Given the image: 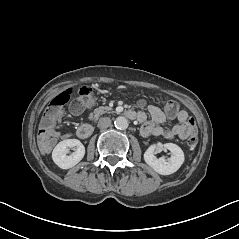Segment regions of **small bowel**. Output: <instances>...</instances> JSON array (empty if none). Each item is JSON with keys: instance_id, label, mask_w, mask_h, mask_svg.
Returning <instances> with one entry per match:
<instances>
[{"instance_id": "c3829d8e", "label": "small bowel", "mask_w": 239, "mask_h": 239, "mask_svg": "<svg viewBox=\"0 0 239 239\" xmlns=\"http://www.w3.org/2000/svg\"><path fill=\"white\" fill-rule=\"evenodd\" d=\"M140 107L147 108V111L150 115V120H147V115L143 111H139L137 118L140 123H142L141 134L144 137L149 136H163L167 139L188 138L192 132L196 129L189 124V115L185 110H180L176 115L169 116L165 114L159 107L155 105H146L144 100L139 102ZM177 119L178 123L173 125L170 128L162 127L161 124L166 122L167 119ZM60 136V132L57 130H51L50 139L47 143H41V146L45 152H49L52 147L55 145L57 138Z\"/></svg>"}]
</instances>
